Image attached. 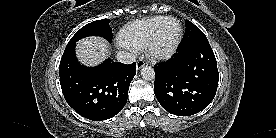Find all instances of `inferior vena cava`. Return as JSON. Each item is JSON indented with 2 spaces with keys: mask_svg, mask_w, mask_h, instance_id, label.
Instances as JSON below:
<instances>
[{
  "mask_svg": "<svg viewBox=\"0 0 276 138\" xmlns=\"http://www.w3.org/2000/svg\"><path fill=\"white\" fill-rule=\"evenodd\" d=\"M117 60L123 64H132L136 60V56L133 53L126 51H120L117 53Z\"/></svg>",
  "mask_w": 276,
  "mask_h": 138,
  "instance_id": "1",
  "label": "inferior vena cava"
}]
</instances>
